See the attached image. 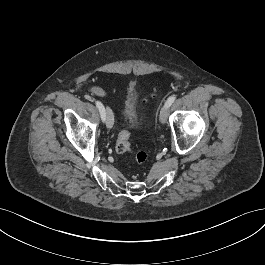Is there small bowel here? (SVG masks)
Segmentation results:
<instances>
[{"label":"small bowel","mask_w":265,"mask_h":265,"mask_svg":"<svg viewBox=\"0 0 265 265\" xmlns=\"http://www.w3.org/2000/svg\"><path fill=\"white\" fill-rule=\"evenodd\" d=\"M90 92L92 95L98 96V97H106L108 94L107 91H105L103 88L98 87V86H92L90 88Z\"/></svg>","instance_id":"c3829d8e"}]
</instances>
